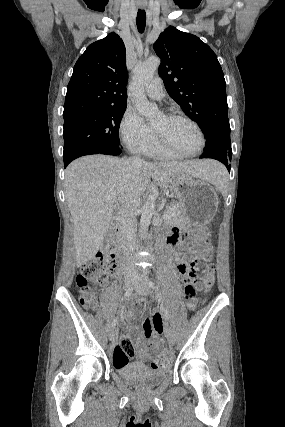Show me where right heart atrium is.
I'll use <instances>...</instances> for the list:
<instances>
[{
    "instance_id": "right-heart-atrium-1",
    "label": "right heart atrium",
    "mask_w": 285,
    "mask_h": 427,
    "mask_svg": "<svg viewBox=\"0 0 285 427\" xmlns=\"http://www.w3.org/2000/svg\"><path fill=\"white\" fill-rule=\"evenodd\" d=\"M120 135L127 148L137 153H143L155 138L152 128L131 108L123 115Z\"/></svg>"
}]
</instances>
